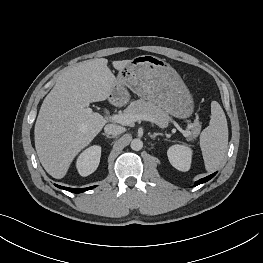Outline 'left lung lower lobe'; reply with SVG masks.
Wrapping results in <instances>:
<instances>
[{
    "label": "left lung lower lobe",
    "instance_id": "obj_1",
    "mask_svg": "<svg viewBox=\"0 0 263 263\" xmlns=\"http://www.w3.org/2000/svg\"><path fill=\"white\" fill-rule=\"evenodd\" d=\"M215 174H216V173H214V174H212V175H209V176H207V177H205V178H202V179L198 180V181L195 183V186L209 181L212 177H214Z\"/></svg>",
    "mask_w": 263,
    "mask_h": 263
}]
</instances>
